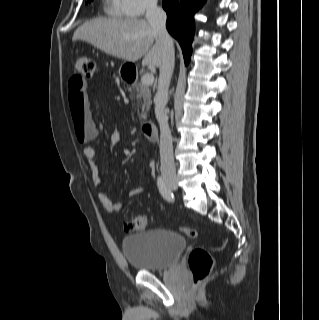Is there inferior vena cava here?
<instances>
[{"mask_svg":"<svg viewBox=\"0 0 319 320\" xmlns=\"http://www.w3.org/2000/svg\"><path fill=\"white\" fill-rule=\"evenodd\" d=\"M146 19L157 32L158 39L163 45L158 89L154 97L155 115L160 126V170L164 176H175L172 136L168 125V116L165 113V106L168 102V89L174 70V46L166 30V13L162 8L157 6V0H150L148 3Z\"/></svg>","mask_w":319,"mask_h":320,"instance_id":"inferior-vena-cava-1","label":"inferior vena cava"}]
</instances>
